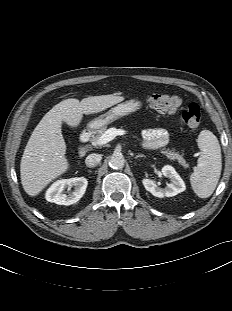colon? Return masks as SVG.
I'll return each instance as SVG.
<instances>
[{
	"label": "colon",
	"instance_id": "obj_1",
	"mask_svg": "<svg viewBox=\"0 0 232 311\" xmlns=\"http://www.w3.org/2000/svg\"><path fill=\"white\" fill-rule=\"evenodd\" d=\"M146 103L161 113L172 114L180 111L183 122L191 129L197 128L200 124L201 112L196 103L183 104L178 97L164 93L147 96Z\"/></svg>",
	"mask_w": 232,
	"mask_h": 311
}]
</instances>
